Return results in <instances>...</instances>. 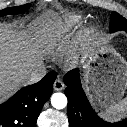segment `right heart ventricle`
I'll use <instances>...</instances> for the list:
<instances>
[{
	"mask_svg": "<svg viewBox=\"0 0 127 127\" xmlns=\"http://www.w3.org/2000/svg\"><path fill=\"white\" fill-rule=\"evenodd\" d=\"M78 22V16H71L60 23L59 26L48 29L43 35L44 43L50 47L56 46L63 35L78 24Z\"/></svg>",
	"mask_w": 127,
	"mask_h": 127,
	"instance_id": "e07e8e85",
	"label": "right heart ventricle"
}]
</instances>
